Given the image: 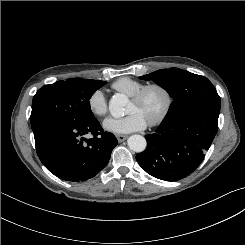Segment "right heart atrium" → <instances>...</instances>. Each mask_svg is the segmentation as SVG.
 I'll use <instances>...</instances> for the list:
<instances>
[{
  "label": "right heart atrium",
  "instance_id": "right-heart-atrium-1",
  "mask_svg": "<svg viewBox=\"0 0 245 245\" xmlns=\"http://www.w3.org/2000/svg\"><path fill=\"white\" fill-rule=\"evenodd\" d=\"M88 107L92 114L98 117H102L107 113V100L102 90L98 89L91 93L88 98Z\"/></svg>",
  "mask_w": 245,
  "mask_h": 245
}]
</instances>
